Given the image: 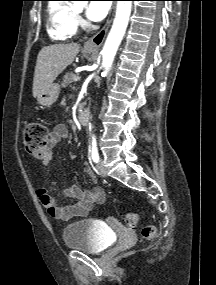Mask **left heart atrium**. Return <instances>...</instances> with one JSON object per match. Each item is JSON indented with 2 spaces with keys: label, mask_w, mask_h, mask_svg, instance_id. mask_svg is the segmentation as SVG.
I'll list each match as a JSON object with an SVG mask.
<instances>
[{
  "label": "left heart atrium",
  "mask_w": 216,
  "mask_h": 285,
  "mask_svg": "<svg viewBox=\"0 0 216 285\" xmlns=\"http://www.w3.org/2000/svg\"><path fill=\"white\" fill-rule=\"evenodd\" d=\"M109 8V1H92L86 8V15L91 21H100L107 15Z\"/></svg>",
  "instance_id": "1"
}]
</instances>
